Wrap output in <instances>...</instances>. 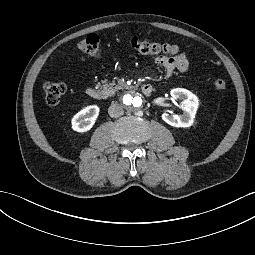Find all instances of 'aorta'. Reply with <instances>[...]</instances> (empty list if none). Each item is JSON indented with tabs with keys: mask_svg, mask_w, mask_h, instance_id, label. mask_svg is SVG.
Returning a JSON list of instances; mask_svg holds the SVG:
<instances>
[{
	"mask_svg": "<svg viewBox=\"0 0 255 255\" xmlns=\"http://www.w3.org/2000/svg\"><path fill=\"white\" fill-rule=\"evenodd\" d=\"M123 102L127 108L137 110L143 106L144 99L139 93L132 91L123 96Z\"/></svg>",
	"mask_w": 255,
	"mask_h": 255,
	"instance_id": "obj_1",
	"label": "aorta"
}]
</instances>
